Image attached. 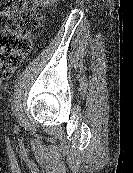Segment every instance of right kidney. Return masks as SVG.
<instances>
[{
    "instance_id": "right-kidney-1",
    "label": "right kidney",
    "mask_w": 133,
    "mask_h": 173,
    "mask_svg": "<svg viewBox=\"0 0 133 173\" xmlns=\"http://www.w3.org/2000/svg\"><path fill=\"white\" fill-rule=\"evenodd\" d=\"M39 1V3H41V5H48V4H52V3H54V2H56V1H58V0H38Z\"/></svg>"
}]
</instances>
